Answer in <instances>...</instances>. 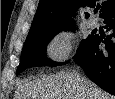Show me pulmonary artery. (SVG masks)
Instances as JSON below:
<instances>
[{
	"label": "pulmonary artery",
	"instance_id": "1",
	"mask_svg": "<svg viewBox=\"0 0 115 99\" xmlns=\"http://www.w3.org/2000/svg\"><path fill=\"white\" fill-rule=\"evenodd\" d=\"M89 26L92 28H95L98 26V20L96 18H91L89 20Z\"/></svg>",
	"mask_w": 115,
	"mask_h": 99
}]
</instances>
